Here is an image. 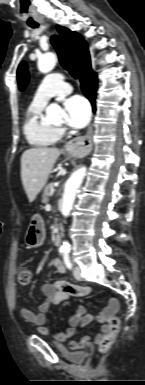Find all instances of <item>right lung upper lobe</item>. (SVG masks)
I'll list each match as a JSON object with an SVG mask.
<instances>
[{
    "mask_svg": "<svg viewBox=\"0 0 145 385\" xmlns=\"http://www.w3.org/2000/svg\"><path fill=\"white\" fill-rule=\"evenodd\" d=\"M57 30L63 38L65 47L78 73L80 74L83 70L89 68L91 66L90 54L83 37L62 26H57Z\"/></svg>",
    "mask_w": 145,
    "mask_h": 385,
    "instance_id": "obj_1",
    "label": "right lung upper lobe"
}]
</instances>
